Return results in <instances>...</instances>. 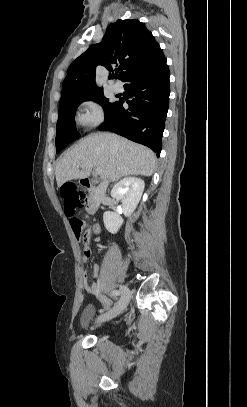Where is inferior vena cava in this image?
<instances>
[{
  "label": "inferior vena cava",
  "instance_id": "inferior-vena-cava-1",
  "mask_svg": "<svg viewBox=\"0 0 247 407\" xmlns=\"http://www.w3.org/2000/svg\"><path fill=\"white\" fill-rule=\"evenodd\" d=\"M108 183V179H103V181L100 183L97 189V202L101 201V199L104 197Z\"/></svg>",
  "mask_w": 247,
  "mask_h": 407
}]
</instances>
